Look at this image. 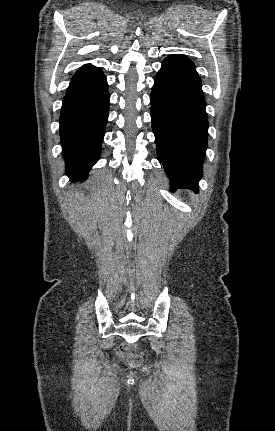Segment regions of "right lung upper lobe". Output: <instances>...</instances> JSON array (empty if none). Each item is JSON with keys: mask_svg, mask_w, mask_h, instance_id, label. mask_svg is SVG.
<instances>
[{"mask_svg": "<svg viewBox=\"0 0 275 431\" xmlns=\"http://www.w3.org/2000/svg\"><path fill=\"white\" fill-rule=\"evenodd\" d=\"M95 70H98V68H96L95 66H92L90 64L87 65H83L81 68L78 69V71H76V73L74 74V76L72 77V79L78 78L80 76L86 75L90 72H93Z\"/></svg>", "mask_w": 275, "mask_h": 431, "instance_id": "obj_1", "label": "right lung upper lobe"}]
</instances>
